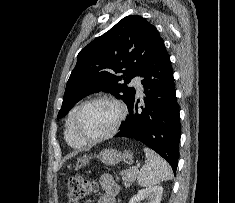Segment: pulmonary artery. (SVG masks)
I'll return each mask as SVG.
<instances>
[{
  "instance_id": "obj_1",
  "label": "pulmonary artery",
  "mask_w": 235,
  "mask_h": 203,
  "mask_svg": "<svg viewBox=\"0 0 235 203\" xmlns=\"http://www.w3.org/2000/svg\"><path fill=\"white\" fill-rule=\"evenodd\" d=\"M132 84L135 85V87L137 88L139 93H142L143 85L141 83V78L140 77L137 76V77L133 78Z\"/></svg>"
}]
</instances>
